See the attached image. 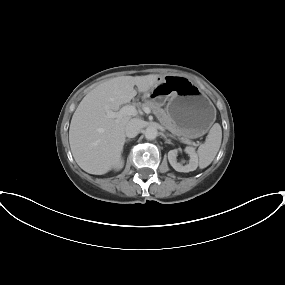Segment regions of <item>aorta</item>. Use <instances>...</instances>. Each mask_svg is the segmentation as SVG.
<instances>
[{"instance_id":"obj_1","label":"aorta","mask_w":285,"mask_h":285,"mask_svg":"<svg viewBox=\"0 0 285 285\" xmlns=\"http://www.w3.org/2000/svg\"><path fill=\"white\" fill-rule=\"evenodd\" d=\"M145 137L148 140H153L157 137L158 135V130L155 126H148L145 130Z\"/></svg>"}]
</instances>
